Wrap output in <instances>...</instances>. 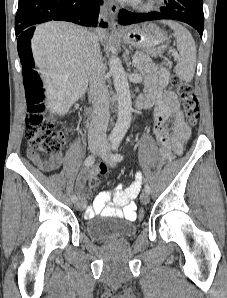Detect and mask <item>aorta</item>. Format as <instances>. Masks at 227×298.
Instances as JSON below:
<instances>
[{"mask_svg": "<svg viewBox=\"0 0 227 298\" xmlns=\"http://www.w3.org/2000/svg\"><path fill=\"white\" fill-rule=\"evenodd\" d=\"M109 72L112 75L118 101V118L110 137L121 140L131 124L132 101L127 74L121 60L116 56L109 58Z\"/></svg>", "mask_w": 227, "mask_h": 298, "instance_id": "obj_1", "label": "aorta"}]
</instances>
